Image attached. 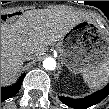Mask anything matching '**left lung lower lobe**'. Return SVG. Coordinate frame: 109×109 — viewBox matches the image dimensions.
I'll return each mask as SVG.
<instances>
[{
    "mask_svg": "<svg viewBox=\"0 0 109 109\" xmlns=\"http://www.w3.org/2000/svg\"><path fill=\"white\" fill-rule=\"evenodd\" d=\"M109 94V84L103 89L81 99H71L59 96V99L69 107L75 109H86L102 101Z\"/></svg>",
    "mask_w": 109,
    "mask_h": 109,
    "instance_id": "obj_1",
    "label": "left lung lower lobe"
}]
</instances>
